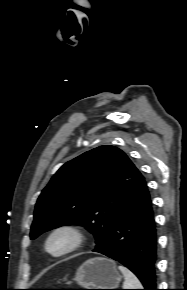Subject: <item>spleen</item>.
I'll return each mask as SVG.
<instances>
[{
  "label": "spleen",
  "mask_w": 187,
  "mask_h": 290,
  "mask_svg": "<svg viewBox=\"0 0 187 290\" xmlns=\"http://www.w3.org/2000/svg\"><path fill=\"white\" fill-rule=\"evenodd\" d=\"M118 269L124 276L123 289H142L140 281L129 269L123 265H119Z\"/></svg>",
  "instance_id": "spleen-1"
}]
</instances>
